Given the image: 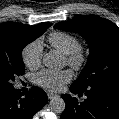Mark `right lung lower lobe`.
<instances>
[{
  "instance_id": "obj_1",
  "label": "right lung lower lobe",
  "mask_w": 119,
  "mask_h": 119,
  "mask_svg": "<svg viewBox=\"0 0 119 119\" xmlns=\"http://www.w3.org/2000/svg\"><path fill=\"white\" fill-rule=\"evenodd\" d=\"M23 95L14 87L0 92V119H32L48 101L46 93L38 87Z\"/></svg>"
}]
</instances>
